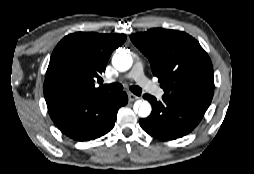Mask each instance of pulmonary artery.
I'll return each instance as SVG.
<instances>
[{
  "mask_svg": "<svg viewBox=\"0 0 254 174\" xmlns=\"http://www.w3.org/2000/svg\"><path fill=\"white\" fill-rule=\"evenodd\" d=\"M124 78L133 79L142 89L158 98L162 97L164 94L163 90L145 77L143 64L141 62H137Z\"/></svg>",
  "mask_w": 254,
  "mask_h": 174,
  "instance_id": "pulmonary-artery-1",
  "label": "pulmonary artery"
}]
</instances>
